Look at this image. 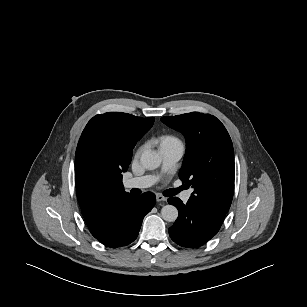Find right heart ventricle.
Returning <instances> with one entry per match:
<instances>
[{
	"label": "right heart ventricle",
	"mask_w": 307,
	"mask_h": 307,
	"mask_svg": "<svg viewBox=\"0 0 307 307\" xmlns=\"http://www.w3.org/2000/svg\"><path fill=\"white\" fill-rule=\"evenodd\" d=\"M170 142H178V139L175 138L174 136H170V135L163 136L162 139H161V144L170 143Z\"/></svg>",
	"instance_id": "1"
}]
</instances>
